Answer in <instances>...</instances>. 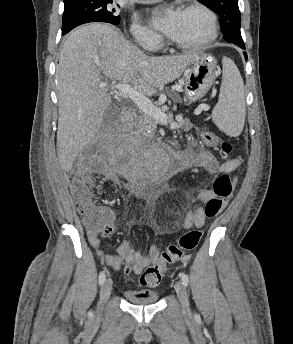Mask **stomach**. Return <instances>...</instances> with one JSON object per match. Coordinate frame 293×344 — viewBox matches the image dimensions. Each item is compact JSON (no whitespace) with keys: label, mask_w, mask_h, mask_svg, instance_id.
I'll list each match as a JSON object with an SVG mask.
<instances>
[{"label":"stomach","mask_w":293,"mask_h":344,"mask_svg":"<svg viewBox=\"0 0 293 344\" xmlns=\"http://www.w3.org/2000/svg\"><path fill=\"white\" fill-rule=\"evenodd\" d=\"M217 75V62L208 54L198 53L179 76L188 102L202 98L213 85Z\"/></svg>","instance_id":"obj_1"}]
</instances>
